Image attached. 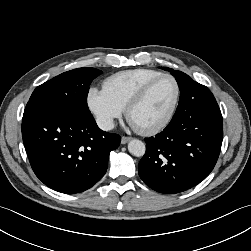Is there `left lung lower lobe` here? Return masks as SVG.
Masks as SVG:
<instances>
[{
    "mask_svg": "<svg viewBox=\"0 0 251 251\" xmlns=\"http://www.w3.org/2000/svg\"><path fill=\"white\" fill-rule=\"evenodd\" d=\"M223 140L220 108L204 85L180 94L171 122L145 138L138 172L153 190L174 194L200 183L214 168Z\"/></svg>",
    "mask_w": 251,
    "mask_h": 251,
    "instance_id": "0a47b994",
    "label": "left lung lower lobe"
}]
</instances>
